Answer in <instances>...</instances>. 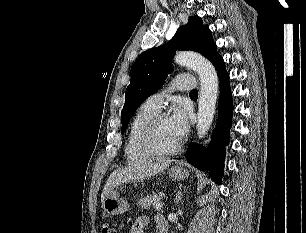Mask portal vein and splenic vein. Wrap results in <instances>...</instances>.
Instances as JSON below:
<instances>
[{
	"instance_id": "18ae733b",
	"label": "portal vein and splenic vein",
	"mask_w": 306,
	"mask_h": 233,
	"mask_svg": "<svg viewBox=\"0 0 306 233\" xmlns=\"http://www.w3.org/2000/svg\"><path fill=\"white\" fill-rule=\"evenodd\" d=\"M164 206V203L163 202H157L154 204V208L155 209H160Z\"/></svg>"
}]
</instances>
